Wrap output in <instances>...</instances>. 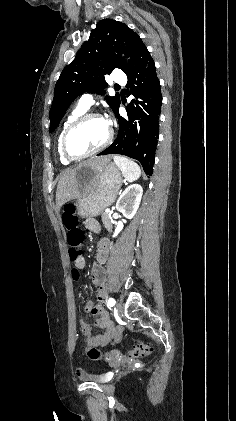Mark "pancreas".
<instances>
[{
  "instance_id": "1",
  "label": "pancreas",
  "mask_w": 236,
  "mask_h": 421,
  "mask_svg": "<svg viewBox=\"0 0 236 421\" xmlns=\"http://www.w3.org/2000/svg\"><path fill=\"white\" fill-rule=\"evenodd\" d=\"M102 221L106 229H108L109 233H111L112 225L108 213H102Z\"/></svg>"
}]
</instances>
